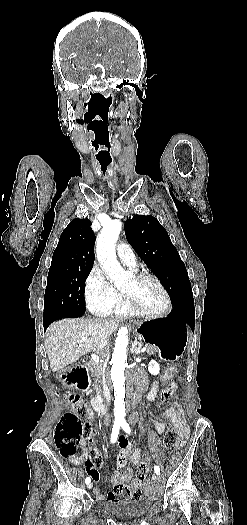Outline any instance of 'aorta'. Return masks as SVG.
Instances as JSON below:
<instances>
[{"label":"aorta","instance_id":"obj_1","mask_svg":"<svg viewBox=\"0 0 247 525\" xmlns=\"http://www.w3.org/2000/svg\"><path fill=\"white\" fill-rule=\"evenodd\" d=\"M122 229L119 220H112L103 226L97 239L96 253L98 261L107 277L114 282L117 288H122L128 283L129 274L120 266L115 253V243ZM128 330L121 328L115 340L112 354L111 379L114 387V415L115 421H125V377L124 370L127 361Z\"/></svg>","mask_w":247,"mask_h":525}]
</instances>
